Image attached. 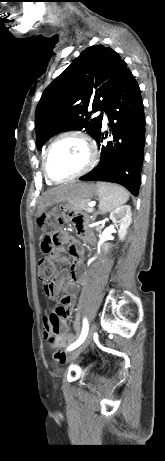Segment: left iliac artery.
Instances as JSON below:
<instances>
[{"label":"left iliac artery","mask_w":165,"mask_h":461,"mask_svg":"<svg viewBox=\"0 0 165 461\" xmlns=\"http://www.w3.org/2000/svg\"><path fill=\"white\" fill-rule=\"evenodd\" d=\"M88 330H89L88 322H87L86 319H84L82 333H81L80 338L74 344L70 345L68 350H73V349L77 348L79 345H81V343L85 340V338H86V336L88 334Z\"/></svg>","instance_id":"left-iliac-artery-1"}]
</instances>
